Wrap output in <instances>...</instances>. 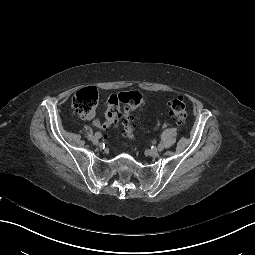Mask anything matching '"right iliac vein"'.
<instances>
[{
	"mask_svg": "<svg viewBox=\"0 0 255 255\" xmlns=\"http://www.w3.org/2000/svg\"><path fill=\"white\" fill-rule=\"evenodd\" d=\"M92 142H93V144L98 145V144H99V138L96 137V136H94V137L92 138Z\"/></svg>",
	"mask_w": 255,
	"mask_h": 255,
	"instance_id": "obj_1",
	"label": "right iliac vein"
}]
</instances>
